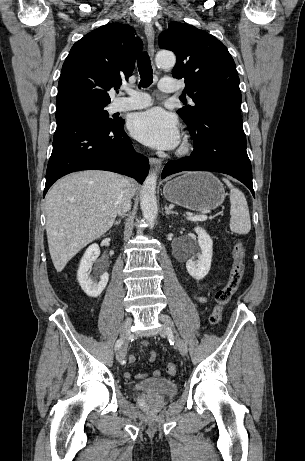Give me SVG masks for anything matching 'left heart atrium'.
I'll return each mask as SVG.
<instances>
[{
	"instance_id": "1",
	"label": "left heart atrium",
	"mask_w": 305,
	"mask_h": 461,
	"mask_svg": "<svg viewBox=\"0 0 305 461\" xmlns=\"http://www.w3.org/2000/svg\"><path fill=\"white\" fill-rule=\"evenodd\" d=\"M129 128L136 139L153 148L172 149L179 143L175 116L158 107L135 114Z\"/></svg>"
}]
</instances>
